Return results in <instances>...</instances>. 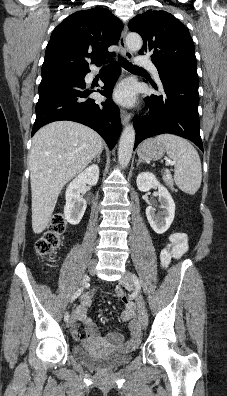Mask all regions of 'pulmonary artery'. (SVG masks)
<instances>
[{
    "mask_svg": "<svg viewBox=\"0 0 227 396\" xmlns=\"http://www.w3.org/2000/svg\"><path fill=\"white\" fill-rule=\"evenodd\" d=\"M135 63L138 66H142V67H147L148 69H150V71L152 72V74L154 75V77L159 80V74H158V70L155 67V65L152 63L151 60L145 58V57H138L135 61Z\"/></svg>",
    "mask_w": 227,
    "mask_h": 396,
    "instance_id": "obj_1",
    "label": "pulmonary artery"
}]
</instances>
